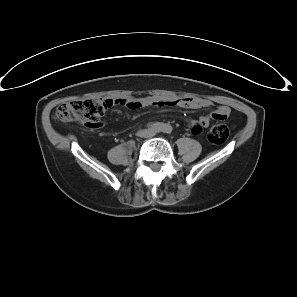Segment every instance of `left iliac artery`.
<instances>
[{
  "instance_id": "obj_1",
  "label": "left iliac artery",
  "mask_w": 297,
  "mask_h": 297,
  "mask_svg": "<svg viewBox=\"0 0 297 297\" xmlns=\"http://www.w3.org/2000/svg\"><path fill=\"white\" fill-rule=\"evenodd\" d=\"M171 129H172L171 126L168 125V126L165 127V132L170 133Z\"/></svg>"
}]
</instances>
